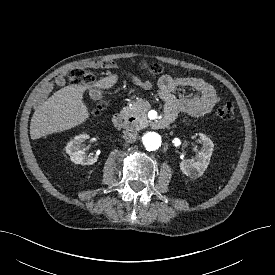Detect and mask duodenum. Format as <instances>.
I'll use <instances>...</instances> for the list:
<instances>
[{"instance_id":"duodenum-1","label":"duodenum","mask_w":275,"mask_h":275,"mask_svg":"<svg viewBox=\"0 0 275 275\" xmlns=\"http://www.w3.org/2000/svg\"><path fill=\"white\" fill-rule=\"evenodd\" d=\"M170 118H168L167 116L157 120L154 124L155 126L159 127V128H163L165 126H167L170 122ZM129 123V120L127 118V116L120 112L117 113L114 117H113V124L116 128H123L125 127L127 124Z\"/></svg>"}]
</instances>
